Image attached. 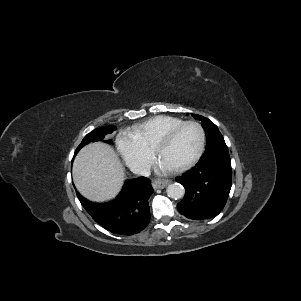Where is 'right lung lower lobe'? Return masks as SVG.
Listing matches in <instances>:
<instances>
[{"label": "right lung lower lobe", "instance_id": "98d812e1", "mask_svg": "<svg viewBox=\"0 0 301 301\" xmlns=\"http://www.w3.org/2000/svg\"><path fill=\"white\" fill-rule=\"evenodd\" d=\"M145 177L127 180L118 196L106 203H93L77 196L92 218L111 233L130 236L142 231L150 221L148 198L153 193Z\"/></svg>", "mask_w": 301, "mask_h": 301}]
</instances>
